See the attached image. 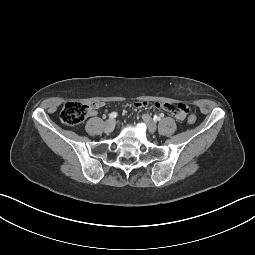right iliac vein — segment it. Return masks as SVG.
Returning <instances> with one entry per match:
<instances>
[{"instance_id": "obj_1", "label": "right iliac vein", "mask_w": 255, "mask_h": 255, "mask_svg": "<svg viewBox=\"0 0 255 255\" xmlns=\"http://www.w3.org/2000/svg\"><path fill=\"white\" fill-rule=\"evenodd\" d=\"M114 130V121L112 119H109L104 124V131L106 133H110Z\"/></svg>"}]
</instances>
